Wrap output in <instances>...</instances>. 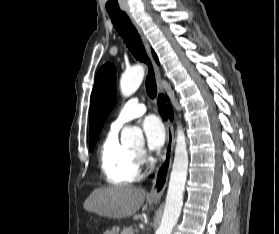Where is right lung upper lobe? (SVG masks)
Segmentation results:
<instances>
[{
	"mask_svg": "<svg viewBox=\"0 0 279 234\" xmlns=\"http://www.w3.org/2000/svg\"><path fill=\"white\" fill-rule=\"evenodd\" d=\"M153 56H154V58H155L156 62L158 63V59H157V57H156V55H155L154 51H153Z\"/></svg>",
	"mask_w": 279,
	"mask_h": 234,
	"instance_id": "obj_1",
	"label": "right lung upper lobe"
}]
</instances>
